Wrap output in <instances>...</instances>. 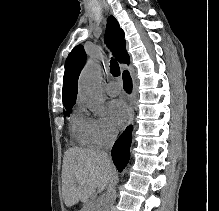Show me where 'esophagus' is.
<instances>
[{
	"label": "esophagus",
	"mask_w": 219,
	"mask_h": 211,
	"mask_svg": "<svg viewBox=\"0 0 219 211\" xmlns=\"http://www.w3.org/2000/svg\"><path fill=\"white\" fill-rule=\"evenodd\" d=\"M128 108H129V124H132L134 121V104L132 100V96H127Z\"/></svg>",
	"instance_id": "esophagus-1"
}]
</instances>
